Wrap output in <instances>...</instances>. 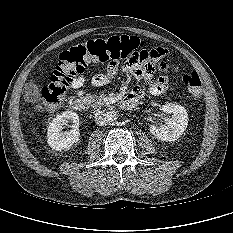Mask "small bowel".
<instances>
[{"label": "small bowel", "instance_id": "small-bowel-1", "mask_svg": "<svg viewBox=\"0 0 233 233\" xmlns=\"http://www.w3.org/2000/svg\"><path fill=\"white\" fill-rule=\"evenodd\" d=\"M168 52L162 48L142 47L134 50L120 58L111 60L106 65V71L92 77V84L100 87L109 84L115 78L125 79L128 75L139 78L141 83L149 85L148 91L151 95L162 94L167 89V78L161 75L156 79L154 69L160 73H167L170 70V63L167 61ZM86 83L85 76H79L71 84L73 93L77 96L83 94V86ZM143 94L139 86H135L131 95L140 98Z\"/></svg>", "mask_w": 233, "mask_h": 233}]
</instances>
